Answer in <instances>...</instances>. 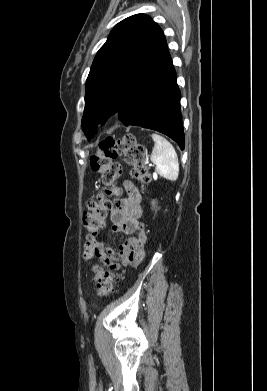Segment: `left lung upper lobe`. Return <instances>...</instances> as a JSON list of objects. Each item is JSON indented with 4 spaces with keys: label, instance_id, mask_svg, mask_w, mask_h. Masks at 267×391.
<instances>
[{
    "label": "left lung upper lobe",
    "instance_id": "5c2ea615",
    "mask_svg": "<svg viewBox=\"0 0 267 391\" xmlns=\"http://www.w3.org/2000/svg\"><path fill=\"white\" fill-rule=\"evenodd\" d=\"M167 51L161 28L145 14L118 23L98 51L86 81L84 133L97 132L147 72Z\"/></svg>",
    "mask_w": 267,
    "mask_h": 391
}]
</instances>
